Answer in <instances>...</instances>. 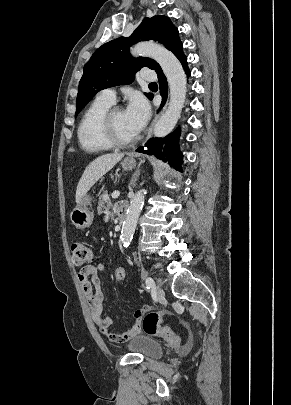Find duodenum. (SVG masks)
<instances>
[{
    "label": "duodenum",
    "mask_w": 291,
    "mask_h": 405,
    "mask_svg": "<svg viewBox=\"0 0 291 405\" xmlns=\"http://www.w3.org/2000/svg\"><path fill=\"white\" fill-rule=\"evenodd\" d=\"M126 211H127V206L126 205H121L118 209V217L120 223L124 222L126 219Z\"/></svg>",
    "instance_id": "obj_1"
}]
</instances>
